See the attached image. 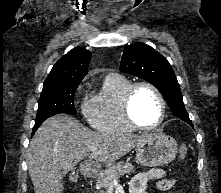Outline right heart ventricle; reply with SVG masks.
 <instances>
[{
    "label": "right heart ventricle",
    "instance_id": "right-heart-ventricle-1",
    "mask_svg": "<svg viewBox=\"0 0 221 193\" xmlns=\"http://www.w3.org/2000/svg\"><path fill=\"white\" fill-rule=\"evenodd\" d=\"M130 84L122 76H108L101 93L86 101L83 112L92 128L108 134H126L134 131L122 110V99Z\"/></svg>",
    "mask_w": 221,
    "mask_h": 193
}]
</instances>
